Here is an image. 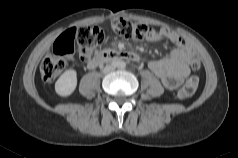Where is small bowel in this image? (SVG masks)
<instances>
[{"instance_id": "c3829d8e", "label": "small bowel", "mask_w": 238, "mask_h": 158, "mask_svg": "<svg viewBox=\"0 0 238 158\" xmlns=\"http://www.w3.org/2000/svg\"><path fill=\"white\" fill-rule=\"evenodd\" d=\"M167 39L175 45L169 56L148 63L149 69L160 79L163 86L174 90L188 77L193 62H197L195 50L176 32L161 28L148 37L150 41Z\"/></svg>"}]
</instances>
